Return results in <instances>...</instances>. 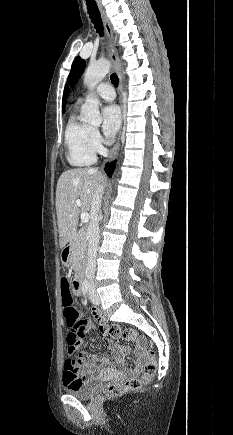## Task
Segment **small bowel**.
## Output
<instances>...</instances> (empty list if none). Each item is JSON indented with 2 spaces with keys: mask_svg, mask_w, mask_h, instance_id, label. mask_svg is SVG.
I'll list each match as a JSON object with an SVG mask.
<instances>
[{
  "mask_svg": "<svg viewBox=\"0 0 233 435\" xmlns=\"http://www.w3.org/2000/svg\"><path fill=\"white\" fill-rule=\"evenodd\" d=\"M82 290V285H81ZM71 293H78V286L75 281L70 282L67 280L65 283L63 279L60 281L59 294L61 299L70 295ZM93 317L99 321V330L101 332V339L104 345L110 349L111 355L116 361H120L123 357V350L119 348L109 336V325L103 320L102 313L98 310L93 311ZM71 330L67 334V340L71 339L76 349L81 344V338L88 332V330L95 327L94 322L91 320H85L79 317V319L70 326ZM145 348L137 341L134 348L135 363L134 367L128 370L131 374H140L143 369V355ZM79 362L72 359L67 355L64 359L62 368V383L67 389H74L82 384L92 382L98 374H108L112 371H123L122 366L117 363L112 364L110 359L102 355H90L86 352H82L78 356Z\"/></svg>",
  "mask_w": 233,
  "mask_h": 435,
  "instance_id": "1",
  "label": "small bowel"
}]
</instances>
